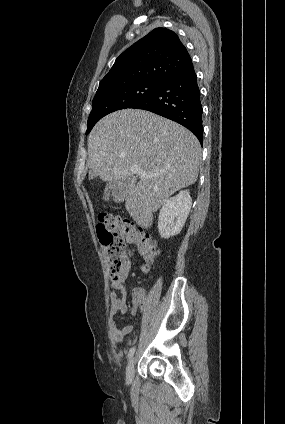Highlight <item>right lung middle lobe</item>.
Wrapping results in <instances>:
<instances>
[{"instance_id": "right-lung-middle-lobe-1", "label": "right lung middle lobe", "mask_w": 285, "mask_h": 424, "mask_svg": "<svg viewBox=\"0 0 285 424\" xmlns=\"http://www.w3.org/2000/svg\"><path fill=\"white\" fill-rule=\"evenodd\" d=\"M162 84L161 81H139L97 91L88 118L86 134L90 133L94 125L107 114L130 108L154 94Z\"/></svg>"}]
</instances>
